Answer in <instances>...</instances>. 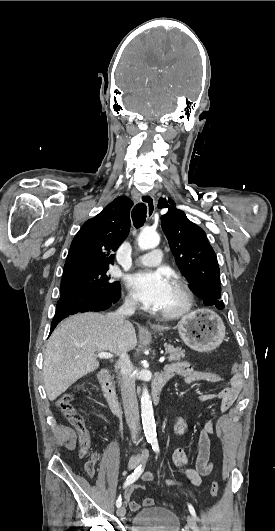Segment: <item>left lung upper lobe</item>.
Here are the masks:
<instances>
[{"mask_svg":"<svg viewBox=\"0 0 275 531\" xmlns=\"http://www.w3.org/2000/svg\"><path fill=\"white\" fill-rule=\"evenodd\" d=\"M158 207L168 208L161 216V226L181 273L190 283V290L205 305L223 309L219 265L205 232L177 209L172 199L161 198Z\"/></svg>","mask_w":275,"mask_h":531,"instance_id":"obj_1","label":"left lung upper lobe"}]
</instances>
